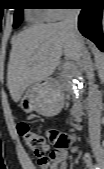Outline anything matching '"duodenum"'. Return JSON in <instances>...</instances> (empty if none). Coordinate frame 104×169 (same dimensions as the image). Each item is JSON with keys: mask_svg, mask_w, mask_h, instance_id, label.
I'll use <instances>...</instances> for the list:
<instances>
[{"mask_svg": "<svg viewBox=\"0 0 104 169\" xmlns=\"http://www.w3.org/2000/svg\"><path fill=\"white\" fill-rule=\"evenodd\" d=\"M84 109H85L84 104H81V103L75 104L73 106L72 111H73V115H74L75 120L79 121L83 118Z\"/></svg>", "mask_w": 104, "mask_h": 169, "instance_id": "1", "label": "duodenum"}]
</instances>
